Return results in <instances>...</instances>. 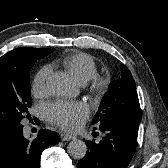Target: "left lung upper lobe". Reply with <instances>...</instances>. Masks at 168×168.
I'll return each mask as SVG.
<instances>
[{
  "instance_id": "obj_1",
  "label": "left lung upper lobe",
  "mask_w": 168,
  "mask_h": 168,
  "mask_svg": "<svg viewBox=\"0 0 168 168\" xmlns=\"http://www.w3.org/2000/svg\"><path fill=\"white\" fill-rule=\"evenodd\" d=\"M121 76L110 83L101 100L92 123L101 125L110 120L125 119L139 125L142 114L136 92V84L128 68L120 66Z\"/></svg>"
}]
</instances>
